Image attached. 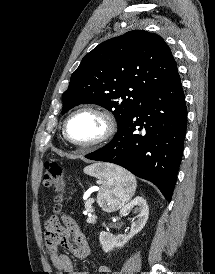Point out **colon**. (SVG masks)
I'll return each instance as SVG.
<instances>
[{
    "label": "colon",
    "instance_id": "1",
    "mask_svg": "<svg viewBox=\"0 0 215 274\" xmlns=\"http://www.w3.org/2000/svg\"><path fill=\"white\" fill-rule=\"evenodd\" d=\"M43 184L45 187L53 188L57 192L55 196L56 209H60L65 199V187L63 170L57 161L49 160L45 163Z\"/></svg>",
    "mask_w": 215,
    "mask_h": 274
}]
</instances>
